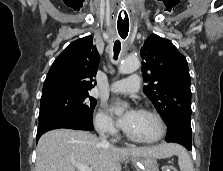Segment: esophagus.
<instances>
[{
  "instance_id": "esophagus-1",
  "label": "esophagus",
  "mask_w": 223,
  "mask_h": 171,
  "mask_svg": "<svg viewBox=\"0 0 223 171\" xmlns=\"http://www.w3.org/2000/svg\"><path fill=\"white\" fill-rule=\"evenodd\" d=\"M116 30L118 31V35H120L123 39L127 38L129 35V31L132 30V21L129 13H116Z\"/></svg>"
}]
</instances>
